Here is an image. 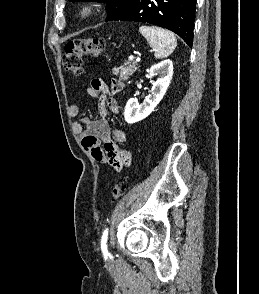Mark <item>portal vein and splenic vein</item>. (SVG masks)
I'll return each mask as SVG.
<instances>
[{
	"label": "portal vein and splenic vein",
	"mask_w": 259,
	"mask_h": 294,
	"mask_svg": "<svg viewBox=\"0 0 259 294\" xmlns=\"http://www.w3.org/2000/svg\"><path fill=\"white\" fill-rule=\"evenodd\" d=\"M133 60H134V56H130L129 61H133Z\"/></svg>",
	"instance_id": "portal-vein-and-splenic-vein-1"
}]
</instances>
